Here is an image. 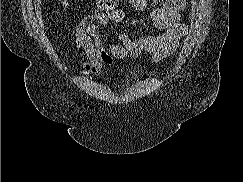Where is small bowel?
I'll return each mask as SVG.
<instances>
[{
  "instance_id": "obj_1",
  "label": "small bowel",
  "mask_w": 243,
  "mask_h": 182,
  "mask_svg": "<svg viewBox=\"0 0 243 182\" xmlns=\"http://www.w3.org/2000/svg\"><path fill=\"white\" fill-rule=\"evenodd\" d=\"M136 10L151 6V19L159 33L132 39L127 33L118 34L119 44L105 41L101 29L111 23L121 22V10L109 12L93 11L83 17L74 32V46L78 54H85L82 73L97 75L105 66H114L126 58L139 59L144 51L150 52V62L156 63L170 56L178 47L180 39L186 35L187 28L182 22L181 12L187 0H129Z\"/></svg>"
}]
</instances>
